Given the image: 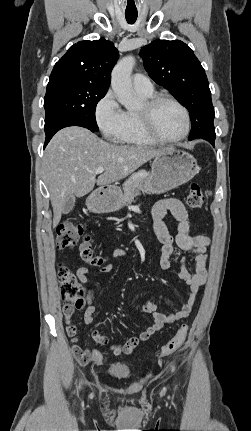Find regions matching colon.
Wrapping results in <instances>:
<instances>
[{"instance_id":"5ec220e1","label":"colon","mask_w":251,"mask_h":431,"mask_svg":"<svg viewBox=\"0 0 251 431\" xmlns=\"http://www.w3.org/2000/svg\"><path fill=\"white\" fill-rule=\"evenodd\" d=\"M204 200L205 197L200 186L196 183L191 184L187 195L188 206L191 208H200ZM84 232L85 226L83 224L70 220L63 221L57 227V247L65 249L76 246L80 238L84 235ZM78 252L80 259L91 266H101L105 262L103 257L94 254L91 248L90 237L88 236H85L79 244ZM58 276L61 296L66 302L64 310L71 311L74 310V308H82L85 303V290L75 274L66 267L61 266L58 269ZM187 330V324H182L174 337L160 349L158 357L170 355L178 350L186 338ZM91 358L95 366L103 367V364L106 363L107 356L95 350L91 353Z\"/></svg>"}]
</instances>
